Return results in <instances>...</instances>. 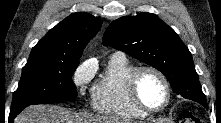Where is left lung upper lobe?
I'll return each instance as SVG.
<instances>
[{
	"label": "left lung upper lobe",
	"mask_w": 221,
	"mask_h": 123,
	"mask_svg": "<svg viewBox=\"0 0 221 123\" xmlns=\"http://www.w3.org/2000/svg\"><path fill=\"white\" fill-rule=\"evenodd\" d=\"M103 43L155 67L167 77L176 94L206 107L189 49L155 14L141 13L113 21Z\"/></svg>",
	"instance_id": "5c2ea615"
}]
</instances>
